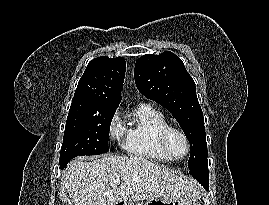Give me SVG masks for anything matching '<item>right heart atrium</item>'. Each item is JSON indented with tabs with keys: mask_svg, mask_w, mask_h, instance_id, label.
<instances>
[{
	"mask_svg": "<svg viewBox=\"0 0 269 205\" xmlns=\"http://www.w3.org/2000/svg\"><path fill=\"white\" fill-rule=\"evenodd\" d=\"M109 138L113 142H121L126 134V129L118 114H114L108 123Z\"/></svg>",
	"mask_w": 269,
	"mask_h": 205,
	"instance_id": "right-heart-atrium-1",
	"label": "right heart atrium"
}]
</instances>
